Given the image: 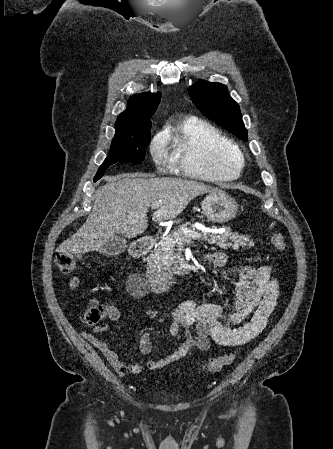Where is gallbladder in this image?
Returning <instances> with one entry per match:
<instances>
[{"label":"gallbladder","mask_w":333,"mask_h":449,"mask_svg":"<svg viewBox=\"0 0 333 449\" xmlns=\"http://www.w3.org/2000/svg\"><path fill=\"white\" fill-rule=\"evenodd\" d=\"M127 248L126 241L119 237L115 236L113 240L108 243H105L102 248L99 249V253L103 255H117L122 253Z\"/></svg>","instance_id":"gallbladder-1"}]
</instances>
